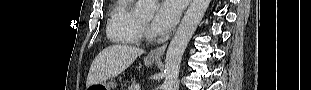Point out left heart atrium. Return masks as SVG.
Listing matches in <instances>:
<instances>
[{"label":"left heart atrium","instance_id":"obj_1","mask_svg":"<svg viewBox=\"0 0 311 90\" xmlns=\"http://www.w3.org/2000/svg\"><path fill=\"white\" fill-rule=\"evenodd\" d=\"M181 13V1L166 0L161 2L153 20L151 28L157 34L171 30L179 20Z\"/></svg>","mask_w":311,"mask_h":90}]
</instances>
